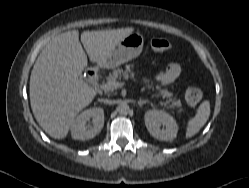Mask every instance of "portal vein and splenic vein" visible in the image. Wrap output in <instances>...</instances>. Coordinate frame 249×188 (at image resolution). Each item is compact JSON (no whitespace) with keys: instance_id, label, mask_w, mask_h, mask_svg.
<instances>
[{"instance_id":"obj_1","label":"portal vein and splenic vein","mask_w":249,"mask_h":188,"mask_svg":"<svg viewBox=\"0 0 249 188\" xmlns=\"http://www.w3.org/2000/svg\"><path fill=\"white\" fill-rule=\"evenodd\" d=\"M125 85V82H113V83H106V84H102V85H97L98 87H100L103 90H114L117 89L121 86Z\"/></svg>"}]
</instances>
